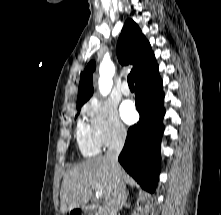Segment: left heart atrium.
<instances>
[{"instance_id":"left-heart-atrium-1","label":"left heart atrium","mask_w":221,"mask_h":215,"mask_svg":"<svg viewBox=\"0 0 221 215\" xmlns=\"http://www.w3.org/2000/svg\"><path fill=\"white\" fill-rule=\"evenodd\" d=\"M120 112L123 120L127 123L133 122L136 118L134 106L130 101H126L121 105Z\"/></svg>"}]
</instances>
